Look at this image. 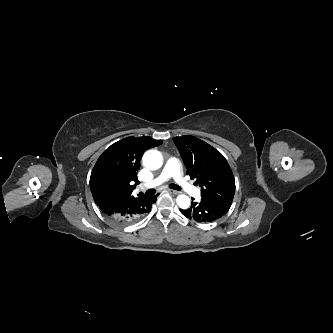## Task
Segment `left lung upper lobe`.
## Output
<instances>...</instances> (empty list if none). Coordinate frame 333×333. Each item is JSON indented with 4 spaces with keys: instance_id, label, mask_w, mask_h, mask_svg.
<instances>
[{
    "instance_id": "obj_1",
    "label": "left lung upper lobe",
    "mask_w": 333,
    "mask_h": 333,
    "mask_svg": "<svg viewBox=\"0 0 333 333\" xmlns=\"http://www.w3.org/2000/svg\"><path fill=\"white\" fill-rule=\"evenodd\" d=\"M191 179H197L202 198L231 205L235 193L232 170L215 148L194 136L174 137Z\"/></svg>"
}]
</instances>
